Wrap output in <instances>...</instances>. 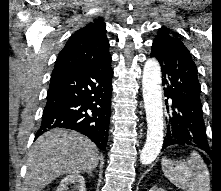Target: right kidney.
<instances>
[{"label": "right kidney", "instance_id": "ca27d5eb", "mask_svg": "<svg viewBox=\"0 0 221 191\" xmlns=\"http://www.w3.org/2000/svg\"><path fill=\"white\" fill-rule=\"evenodd\" d=\"M72 186L74 191H86L85 179L80 174H71L61 180L56 191H68Z\"/></svg>", "mask_w": 221, "mask_h": 191}]
</instances>
